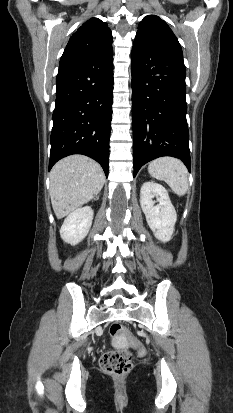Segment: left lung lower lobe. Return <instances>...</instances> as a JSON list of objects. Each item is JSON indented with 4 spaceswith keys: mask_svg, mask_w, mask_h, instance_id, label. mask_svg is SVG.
Wrapping results in <instances>:
<instances>
[{
    "mask_svg": "<svg viewBox=\"0 0 233 413\" xmlns=\"http://www.w3.org/2000/svg\"><path fill=\"white\" fill-rule=\"evenodd\" d=\"M132 114L134 177L162 156L191 170L183 56L156 45L133 44Z\"/></svg>",
    "mask_w": 233,
    "mask_h": 413,
    "instance_id": "1",
    "label": "left lung lower lobe"
}]
</instances>
